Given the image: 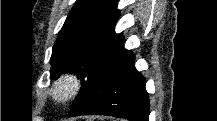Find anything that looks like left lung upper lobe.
<instances>
[{
  "label": "left lung upper lobe",
  "mask_w": 217,
  "mask_h": 121,
  "mask_svg": "<svg viewBox=\"0 0 217 121\" xmlns=\"http://www.w3.org/2000/svg\"><path fill=\"white\" fill-rule=\"evenodd\" d=\"M117 3L118 0H77L53 46L51 79L67 72L81 79V91L69 113L124 41L121 34L114 32L120 12Z\"/></svg>",
  "instance_id": "obj_1"
}]
</instances>
